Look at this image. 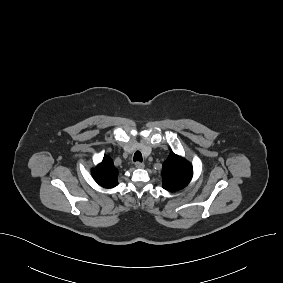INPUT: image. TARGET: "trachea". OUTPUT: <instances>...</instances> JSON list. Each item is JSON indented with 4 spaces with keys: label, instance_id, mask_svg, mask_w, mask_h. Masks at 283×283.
I'll use <instances>...</instances> for the list:
<instances>
[{
    "label": "trachea",
    "instance_id": "1",
    "mask_svg": "<svg viewBox=\"0 0 283 283\" xmlns=\"http://www.w3.org/2000/svg\"><path fill=\"white\" fill-rule=\"evenodd\" d=\"M133 160H134V161L142 162V154H141L140 151H136V152H135Z\"/></svg>",
    "mask_w": 283,
    "mask_h": 283
}]
</instances>
